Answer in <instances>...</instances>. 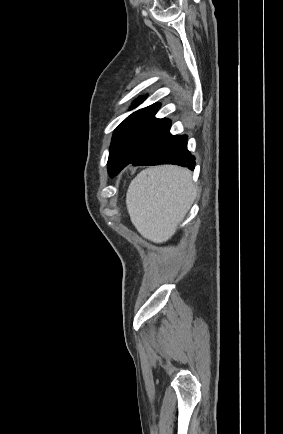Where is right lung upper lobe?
<instances>
[{
    "label": "right lung upper lobe",
    "instance_id": "cb5924a9",
    "mask_svg": "<svg viewBox=\"0 0 283 434\" xmlns=\"http://www.w3.org/2000/svg\"><path fill=\"white\" fill-rule=\"evenodd\" d=\"M145 97H141L138 99V101L134 102V107H136L137 105H139ZM160 107L159 103H155L152 104L146 108L140 109L136 112H134L133 114H131L129 117H133V116H150V117H154V115L156 114V112L158 111ZM166 119V118H164Z\"/></svg>",
    "mask_w": 283,
    "mask_h": 434
}]
</instances>
